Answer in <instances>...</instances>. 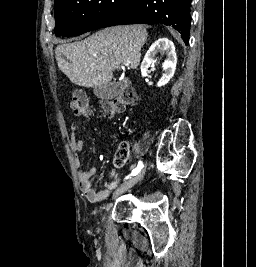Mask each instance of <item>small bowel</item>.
<instances>
[{
	"label": "small bowel",
	"instance_id": "obj_1",
	"mask_svg": "<svg viewBox=\"0 0 256 267\" xmlns=\"http://www.w3.org/2000/svg\"><path fill=\"white\" fill-rule=\"evenodd\" d=\"M79 127L77 124H72L71 126V142L70 146L75 154L74 164L77 170L78 180L80 189L85 195L86 199L91 203H99L106 199L112 189H114L118 181L115 177V172H111L108 180L105 182V189L102 191H95L92 186V177L96 173V168L91 167L85 170L82 167L79 155L83 151V140L78 136Z\"/></svg>",
	"mask_w": 256,
	"mask_h": 267
}]
</instances>
